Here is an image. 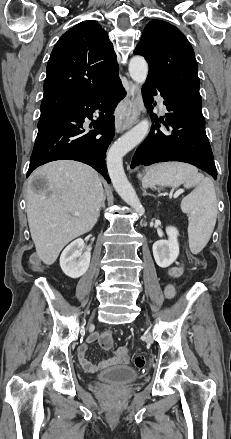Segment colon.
<instances>
[{
	"label": "colon",
	"instance_id": "5ec220e1",
	"mask_svg": "<svg viewBox=\"0 0 231 439\" xmlns=\"http://www.w3.org/2000/svg\"><path fill=\"white\" fill-rule=\"evenodd\" d=\"M113 339L110 331H105L100 337V345L103 348H110L112 346ZM134 364L137 368L142 369L146 366L147 360L143 355H137L134 359Z\"/></svg>",
	"mask_w": 231,
	"mask_h": 439
}]
</instances>
